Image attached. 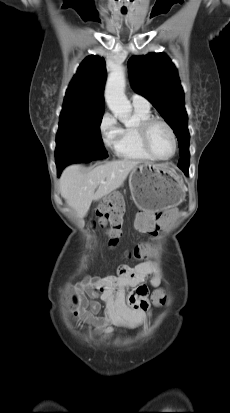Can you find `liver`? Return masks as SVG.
Masks as SVG:
<instances>
[{
    "instance_id": "obj_1",
    "label": "liver",
    "mask_w": 230,
    "mask_h": 413,
    "mask_svg": "<svg viewBox=\"0 0 230 413\" xmlns=\"http://www.w3.org/2000/svg\"><path fill=\"white\" fill-rule=\"evenodd\" d=\"M139 164L140 162L126 159L114 160L88 171L78 164L70 165L63 170L60 177L61 195L76 211L77 216L83 218L92 201H97L121 187L128 174Z\"/></svg>"
}]
</instances>
